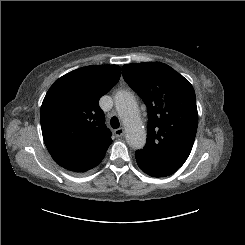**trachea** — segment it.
<instances>
[{
	"instance_id": "1",
	"label": "trachea",
	"mask_w": 245,
	"mask_h": 245,
	"mask_svg": "<svg viewBox=\"0 0 245 245\" xmlns=\"http://www.w3.org/2000/svg\"><path fill=\"white\" fill-rule=\"evenodd\" d=\"M110 124H111L112 128H114V129H117L120 126V122H119L117 117H112L110 120Z\"/></svg>"
}]
</instances>
